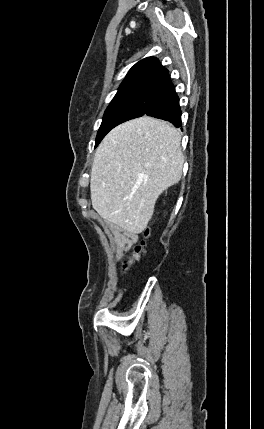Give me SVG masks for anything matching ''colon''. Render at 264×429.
Segmentation results:
<instances>
[{
	"mask_svg": "<svg viewBox=\"0 0 264 429\" xmlns=\"http://www.w3.org/2000/svg\"><path fill=\"white\" fill-rule=\"evenodd\" d=\"M148 235H149V231L146 230L145 236L147 237ZM145 245H146V242L142 241L139 245L135 247L134 253L132 255L126 256L124 266H123L124 271L129 269L134 259H138L141 256V254L144 252Z\"/></svg>",
	"mask_w": 264,
	"mask_h": 429,
	"instance_id": "obj_1",
	"label": "colon"
}]
</instances>
